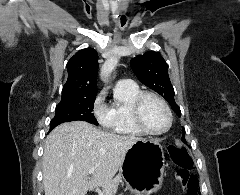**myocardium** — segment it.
Masks as SVG:
<instances>
[{
    "instance_id": "obj_1",
    "label": "myocardium",
    "mask_w": 240,
    "mask_h": 195,
    "mask_svg": "<svg viewBox=\"0 0 240 195\" xmlns=\"http://www.w3.org/2000/svg\"><path fill=\"white\" fill-rule=\"evenodd\" d=\"M147 98H153L157 100L165 112L166 125L161 130H152L148 128L144 122L142 108H143L144 101ZM133 117L136 125L144 134L153 135V136L165 134L170 129L172 125V120H173L172 112L167 102L160 95L152 91H142L135 97L133 102Z\"/></svg>"
}]
</instances>
